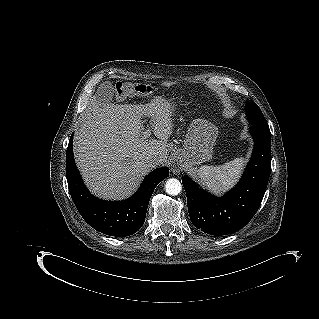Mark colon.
Wrapping results in <instances>:
<instances>
[{
	"label": "colon",
	"instance_id": "colon-1",
	"mask_svg": "<svg viewBox=\"0 0 319 319\" xmlns=\"http://www.w3.org/2000/svg\"><path fill=\"white\" fill-rule=\"evenodd\" d=\"M116 94L118 98L124 99L132 95H149L153 88L145 83L119 82L116 84Z\"/></svg>",
	"mask_w": 319,
	"mask_h": 319
}]
</instances>
